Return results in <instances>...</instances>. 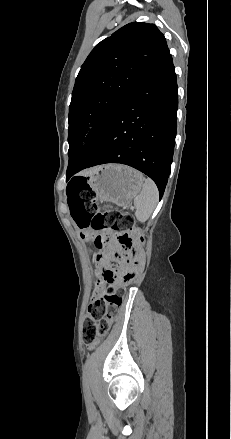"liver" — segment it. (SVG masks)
I'll use <instances>...</instances> for the list:
<instances>
[{
    "label": "liver",
    "instance_id": "obj_1",
    "mask_svg": "<svg viewBox=\"0 0 231 439\" xmlns=\"http://www.w3.org/2000/svg\"><path fill=\"white\" fill-rule=\"evenodd\" d=\"M99 167H96V168H93V169H90V170H87V171H85L84 172V174L85 175H90V174H92L96 169H98Z\"/></svg>",
    "mask_w": 231,
    "mask_h": 439
}]
</instances>
